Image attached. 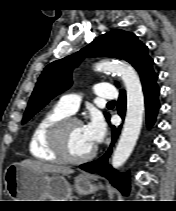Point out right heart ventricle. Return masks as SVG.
<instances>
[{
    "instance_id": "e07e8e85",
    "label": "right heart ventricle",
    "mask_w": 176,
    "mask_h": 211,
    "mask_svg": "<svg viewBox=\"0 0 176 211\" xmlns=\"http://www.w3.org/2000/svg\"><path fill=\"white\" fill-rule=\"evenodd\" d=\"M69 115L59 105H55L39 117L28 140V150L32 157L41 161L60 163V159L49 146L48 133L56 121Z\"/></svg>"
}]
</instances>
